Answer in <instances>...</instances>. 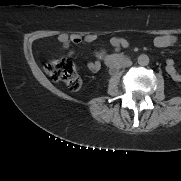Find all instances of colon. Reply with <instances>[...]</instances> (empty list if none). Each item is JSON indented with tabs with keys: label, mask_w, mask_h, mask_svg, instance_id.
<instances>
[{
	"label": "colon",
	"mask_w": 181,
	"mask_h": 181,
	"mask_svg": "<svg viewBox=\"0 0 181 181\" xmlns=\"http://www.w3.org/2000/svg\"><path fill=\"white\" fill-rule=\"evenodd\" d=\"M45 70L54 81L64 83L70 90L76 91L81 87L82 81L74 64L66 58L48 61Z\"/></svg>",
	"instance_id": "obj_1"
}]
</instances>
